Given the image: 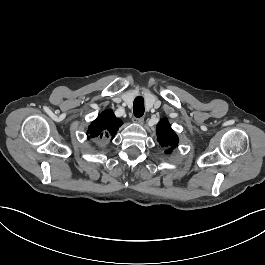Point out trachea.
<instances>
[{"instance_id":"3493384b","label":"trachea","mask_w":265,"mask_h":265,"mask_svg":"<svg viewBox=\"0 0 265 265\" xmlns=\"http://www.w3.org/2000/svg\"><path fill=\"white\" fill-rule=\"evenodd\" d=\"M144 99L142 96H137L133 103V113L136 117H141L144 113Z\"/></svg>"}]
</instances>
